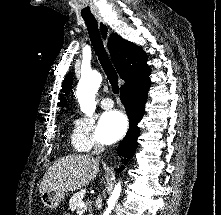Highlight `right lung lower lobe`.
<instances>
[{
	"instance_id": "1",
	"label": "right lung lower lobe",
	"mask_w": 221,
	"mask_h": 215,
	"mask_svg": "<svg viewBox=\"0 0 221 215\" xmlns=\"http://www.w3.org/2000/svg\"><path fill=\"white\" fill-rule=\"evenodd\" d=\"M150 87L149 75L137 82L136 84L122 89L120 99L125 106L129 118V130L118 147V154L126 158H131L137 148V138L140 134V129L137 124L144 115L145 103L147 101V92ZM127 160L124 161V164ZM121 167L118 172L121 171Z\"/></svg>"
}]
</instances>
